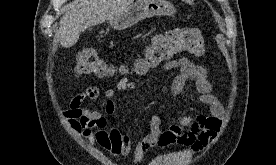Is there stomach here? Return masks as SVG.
Returning a JSON list of instances; mask_svg holds the SVG:
<instances>
[{
  "label": "stomach",
  "instance_id": "stomach-1",
  "mask_svg": "<svg viewBox=\"0 0 276 165\" xmlns=\"http://www.w3.org/2000/svg\"><path fill=\"white\" fill-rule=\"evenodd\" d=\"M175 7L166 0H137L125 11L109 21L115 30H124L132 27L139 21L153 16H172Z\"/></svg>",
  "mask_w": 276,
  "mask_h": 165
}]
</instances>
